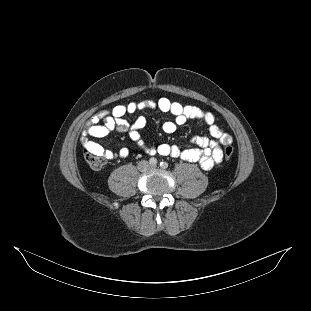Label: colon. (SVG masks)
Masks as SVG:
<instances>
[{"label": "colon", "mask_w": 311, "mask_h": 311, "mask_svg": "<svg viewBox=\"0 0 311 311\" xmlns=\"http://www.w3.org/2000/svg\"><path fill=\"white\" fill-rule=\"evenodd\" d=\"M234 148L231 145H228L224 149V159L229 160L233 156ZM85 160L88 165L95 170L101 169L105 165V158L103 155L85 150L84 154Z\"/></svg>", "instance_id": "1"}]
</instances>
